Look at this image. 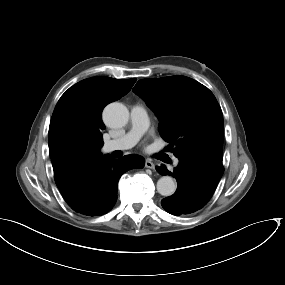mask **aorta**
Listing matches in <instances>:
<instances>
[{
	"mask_svg": "<svg viewBox=\"0 0 285 285\" xmlns=\"http://www.w3.org/2000/svg\"><path fill=\"white\" fill-rule=\"evenodd\" d=\"M105 123L112 128L124 126L129 118L127 108L121 103L107 105L103 112ZM176 183L170 176H163L157 181V191L162 196H171L176 190Z\"/></svg>",
	"mask_w": 285,
	"mask_h": 285,
	"instance_id": "762f6f07",
	"label": "aorta"
}]
</instances>
